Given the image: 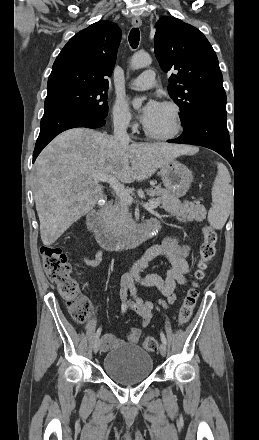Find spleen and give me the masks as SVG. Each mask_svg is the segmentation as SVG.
Wrapping results in <instances>:
<instances>
[{
	"instance_id": "obj_1",
	"label": "spleen",
	"mask_w": 259,
	"mask_h": 440,
	"mask_svg": "<svg viewBox=\"0 0 259 440\" xmlns=\"http://www.w3.org/2000/svg\"><path fill=\"white\" fill-rule=\"evenodd\" d=\"M218 173L212 187V207L208 222L215 229H222L233 205L231 176L223 163H217Z\"/></svg>"
}]
</instances>
